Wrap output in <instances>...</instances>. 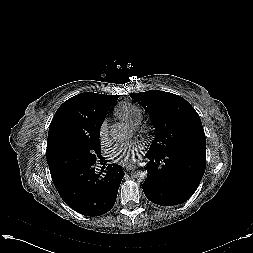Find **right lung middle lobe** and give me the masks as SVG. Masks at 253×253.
<instances>
[{"instance_id": "dd1d6c3e", "label": "right lung middle lobe", "mask_w": 253, "mask_h": 253, "mask_svg": "<svg viewBox=\"0 0 253 253\" xmlns=\"http://www.w3.org/2000/svg\"><path fill=\"white\" fill-rule=\"evenodd\" d=\"M100 131L92 135L61 139L48 153L47 162L51 175L75 167L95 164L101 158Z\"/></svg>"}]
</instances>
